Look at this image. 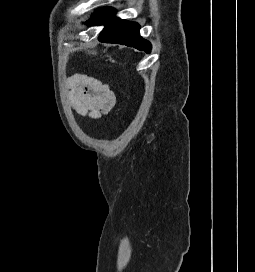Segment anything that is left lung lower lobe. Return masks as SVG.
I'll list each match as a JSON object with an SVG mask.
<instances>
[{
  "label": "left lung lower lobe",
  "mask_w": 255,
  "mask_h": 272,
  "mask_svg": "<svg viewBox=\"0 0 255 272\" xmlns=\"http://www.w3.org/2000/svg\"><path fill=\"white\" fill-rule=\"evenodd\" d=\"M115 13L111 7L99 8L86 24L105 26L98 38L100 42L122 44L150 53L151 44L139 35V25L114 17Z\"/></svg>",
  "instance_id": "obj_1"
}]
</instances>
